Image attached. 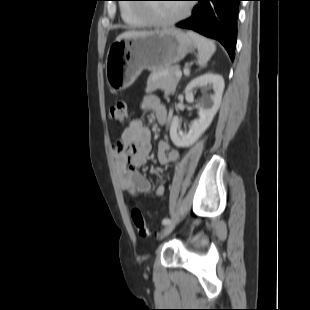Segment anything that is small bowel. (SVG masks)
Here are the masks:
<instances>
[{
    "label": "small bowel",
    "instance_id": "obj_1",
    "mask_svg": "<svg viewBox=\"0 0 310 310\" xmlns=\"http://www.w3.org/2000/svg\"><path fill=\"white\" fill-rule=\"evenodd\" d=\"M140 106L144 112H153L159 124L167 121V110L158 97L146 95L142 98ZM150 150L151 133L142 118L131 120L120 138L112 145L120 188L133 197L149 195L152 192L149 180L139 170L145 164ZM157 159L160 165L167 166L177 163L180 153L172 149L167 141L162 140L158 143ZM165 189L166 181L161 178L153 195L162 196Z\"/></svg>",
    "mask_w": 310,
    "mask_h": 310
}]
</instances>
